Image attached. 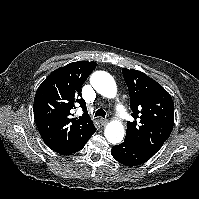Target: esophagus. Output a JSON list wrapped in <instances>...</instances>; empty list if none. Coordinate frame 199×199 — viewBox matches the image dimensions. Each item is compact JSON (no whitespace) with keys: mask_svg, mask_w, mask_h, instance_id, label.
Wrapping results in <instances>:
<instances>
[{"mask_svg":"<svg viewBox=\"0 0 199 199\" xmlns=\"http://www.w3.org/2000/svg\"><path fill=\"white\" fill-rule=\"evenodd\" d=\"M107 123H108L107 119H103V118L100 119V124L101 125H106Z\"/></svg>","mask_w":199,"mask_h":199,"instance_id":"obj_1","label":"esophagus"}]
</instances>
